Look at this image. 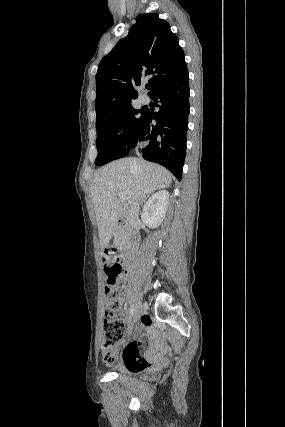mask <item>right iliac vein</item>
Wrapping results in <instances>:
<instances>
[{
    "instance_id": "right-iliac-vein-1",
    "label": "right iliac vein",
    "mask_w": 285,
    "mask_h": 427,
    "mask_svg": "<svg viewBox=\"0 0 285 427\" xmlns=\"http://www.w3.org/2000/svg\"><path fill=\"white\" fill-rule=\"evenodd\" d=\"M145 306L144 305H140V306H138L137 307V309L135 310V312H134V320L135 321H137L139 318H140V316H141V314H142V312H143V308H144Z\"/></svg>"
}]
</instances>
